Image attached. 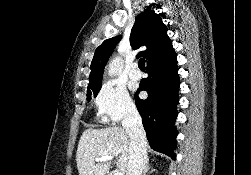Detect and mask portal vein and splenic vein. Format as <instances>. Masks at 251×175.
<instances>
[{
  "label": "portal vein and splenic vein",
  "mask_w": 251,
  "mask_h": 175,
  "mask_svg": "<svg viewBox=\"0 0 251 175\" xmlns=\"http://www.w3.org/2000/svg\"><path fill=\"white\" fill-rule=\"evenodd\" d=\"M113 155H102V157H95V161H111ZM113 175H123L122 171H115Z\"/></svg>",
  "instance_id": "18ae733b"
}]
</instances>
